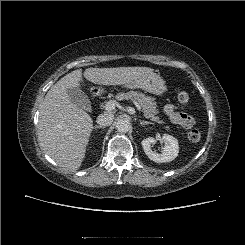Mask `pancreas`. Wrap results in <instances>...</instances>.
<instances>
[{"mask_svg": "<svg viewBox=\"0 0 245 245\" xmlns=\"http://www.w3.org/2000/svg\"><path fill=\"white\" fill-rule=\"evenodd\" d=\"M116 99L121 100H127V99H133L136 102L139 103V105L142 108V111L144 113V117L150 119L153 122H157L159 124H163L164 121L161 120L157 114V105L156 102H154V98L150 96H146L143 93H140L138 91H129L126 93H119L116 95ZM168 128V127H166Z\"/></svg>", "mask_w": 245, "mask_h": 245, "instance_id": "1", "label": "pancreas"}]
</instances>
